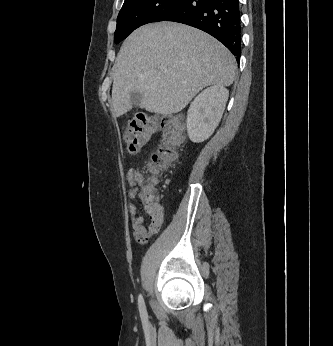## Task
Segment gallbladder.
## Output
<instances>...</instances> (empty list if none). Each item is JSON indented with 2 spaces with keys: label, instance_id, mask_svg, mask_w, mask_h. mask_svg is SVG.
<instances>
[{
  "label": "gallbladder",
  "instance_id": "bac80fb5",
  "mask_svg": "<svg viewBox=\"0 0 333 346\" xmlns=\"http://www.w3.org/2000/svg\"><path fill=\"white\" fill-rule=\"evenodd\" d=\"M142 99V94L139 93V92H132L130 94V101L134 104V105H137L140 103Z\"/></svg>",
  "mask_w": 333,
  "mask_h": 346
}]
</instances>
